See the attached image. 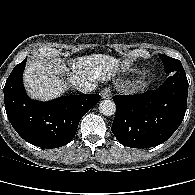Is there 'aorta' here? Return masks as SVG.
Returning a JSON list of instances; mask_svg holds the SVG:
<instances>
[{
	"label": "aorta",
	"instance_id": "obj_1",
	"mask_svg": "<svg viewBox=\"0 0 195 195\" xmlns=\"http://www.w3.org/2000/svg\"><path fill=\"white\" fill-rule=\"evenodd\" d=\"M99 111L105 116H112L116 112V105L112 100H103L99 104Z\"/></svg>",
	"mask_w": 195,
	"mask_h": 195
}]
</instances>
